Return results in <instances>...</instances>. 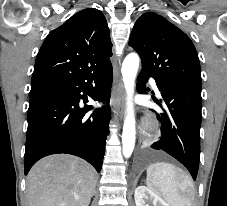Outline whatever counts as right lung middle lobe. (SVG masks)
<instances>
[{
	"label": "right lung middle lobe",
	"instance_id": "obj_1",
	"mask_svg": "<svg viewBox=\"0 0 227 206\" xmlns=\"http://www.w3.org/2000/svg\"><path fill=\"white\" fill-rule=\"evenodd\" d=\"M59 84H60V82H56V81H44V82L32 83L31 91H30L29 95L39 93L42 91H46V90H53Z\"/></svg>",
	"mask_w": 227,
	"mask_h": 206
}]
</instances>
